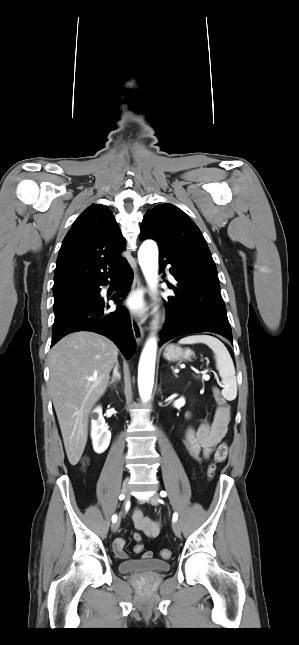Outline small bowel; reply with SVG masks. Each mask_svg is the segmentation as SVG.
<instances>
[{
  "mask_svg": "<svg viewBox=\"0 0 299 645\" xmlns=\"http://www.w3.org/2000/svg\"><path fill=\"white\" fill-rule=\"evenodd\" d=\"M228 422L229 414H225L220 407H217L212 419L203 420L196 430L189 427L184 437V444L189 455L198 462L207 460L211 456L218 461H223L228 452L227 444L223 441ZM133 522L138 531L150 538H155L160 533V523L144 516L138 508L133 512ZM124 546L125 539L123 537H118L113 542V551L119 559L127 558V554L123 550ZM151 557L152 553L149 551L143 554V559Z\"/></svg>",
  "mask_w": 299,
  "mask_h": 645,
  "instance_id": "small-bowel-1",
  "label": "small bowel"
}]
</instances>
